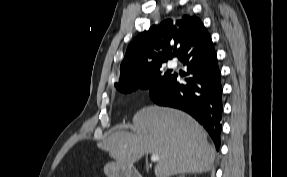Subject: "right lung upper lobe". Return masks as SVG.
Returning a JSON list of instances; mask_svg holds the SVG:
<instances>
[{"mask_svg":"<svg viewBox=\"0 0 287 177\" xmlns=\"http://www.w3.org/2000/svg\"><path fill=\"white\" fill-rule=\"evenodd\" d=\"M205 29L199 18L184 15L138 34L126 50L115 87L138 82L159 64L178 57L185 44Z\"/></svg>","mask_w":287,"mask_h":177,"instance_id":"obj_1","label":"right lung upper lobe"}]
</instances>
